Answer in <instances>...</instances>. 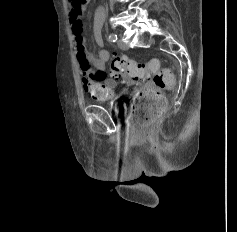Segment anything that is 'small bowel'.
Instances as JSON below:
<instances>
[{"instance_id":"c3829d8e","label":"small bowel","mask_w":237,"mask_h":232,"mask_svg":"<svg viewBox=\"0 0 237 232\" xmlns=\"http://www.w3.org/2000/svg\"><path fill=\"white\" fill-rule=\"evenodd\" d=\"M80 14V9L72 7L69 13V22L75 38L83 89L96 100H110L115 96L114 88L116 86V82L113 79H109L107 75L106 67L110 53L105 49H101L97 56L87 53L84 46V37L82 36ZM103 22L104 14L102 10L97 9L93 19V35L99 46L103 44Z\"/></svg>"}]
</instances>
